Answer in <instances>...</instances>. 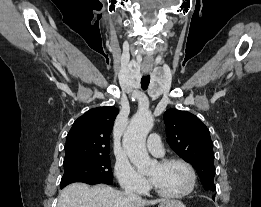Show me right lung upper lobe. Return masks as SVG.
I'll return each instance as SVG.
<instances>
[{
  "label": "right lung upper lobe",
  "instance_id": "cb5924a9",
  "mask_svg": "<svg viewBox=\"0 0 261 207\" xmlns=\"http://www.w3.org/2000/svg\"><path fill=\"white\" fill-rule=\"evenodd\" d=\"M118 112L113 106L98 107L75 120L67 135L64 161L109 155L110 134Z\"/></svg>",
  "mask_w": 261,
  "mask_h": 207
}]
</instances>
